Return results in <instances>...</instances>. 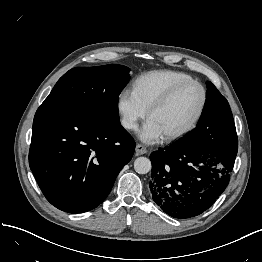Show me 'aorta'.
<instances>
[{
    "mask_svg": "<svg viewBox=\"0 0 262 262\" xmlns=\"http://www.w3.org/2000/svg\"><path fill=\"white\" fill-rule=\"evenodd\" d=\"M134 169L139 174H146L151 170V161L146 157H138L134 161Z\"/></svg>",
    "mask_w": 262,
    "mask_h": 262,
    "instance_id": "1",
    "label": "aorta"
}]
</instances>
